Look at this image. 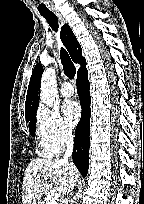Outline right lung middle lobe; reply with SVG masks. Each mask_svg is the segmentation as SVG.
I'll use <instances>...</instances> for the list:
<instances>
[{
  "label": "right lung middle lobe",
  "mask_w": 144,
  "mask_h": 204,
  "mask_svg": "<svg viewBox=\"0 0 144 204\" xmlns=\"http://www.w3.org/2000/svg\"><path fill=\"white\" fill-rule=\"evenodd\" d=\"M26 121L29 122V130L32 136L34 137L35 136V122H36L35 115L30 118H27Z\"/></svg>",
  "instance_id": "obj_1"
}]
</instances>
